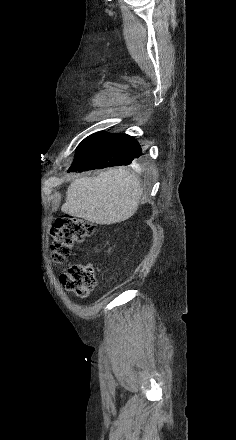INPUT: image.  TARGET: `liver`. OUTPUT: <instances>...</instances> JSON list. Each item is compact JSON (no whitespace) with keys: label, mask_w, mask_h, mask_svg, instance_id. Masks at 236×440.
Wrapping results in <instances>:
<instances>
[{"label":"liver","mask_w":236,"mask_h":440,"mask_svg":"<svg viewBox=\"0 0 236 440\" xmlns=\"http://www.w3.org/2000/svg\"><path fill=\"white\" fill-rule=\"evenodd\" d=\"M141 195L142 189L134 174L113 168L97 177L75 179L67 189L61 210L92 223L111 225L132 217Z\"/></svg>","instance_id":"obj_1"}]
</instances>
